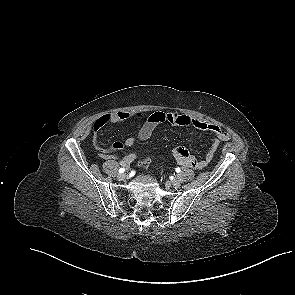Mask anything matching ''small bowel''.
Returning <instances> with one entry per match:
<instances>
[{
  "instance_id": "1",
  "label": "small bowel",
  "mask_w": 295,
  "mask_h": 295,
  "mask_svg": "<svg viewBox=\"0 0 295 295\" xmlns=\"http://www.w3.org/2000/svg\"><path fill=\"white\" fill-rule=\"evenodd\" d=\"M127 120H140L143 122L137 135L128 137L123 143L115 142L109 148H102L98 142L99 131L107 124H118ZM163 123H168L175 126H190L199 130L208 131L213 134L211 145L202 159L195 158L184 147H177L174 150L173 154L177 162L182 166L193 169L205 168L212 161L214 153L219 147L220 143L229 141L231 138L229 132L223 131L216 124L194 119L180 113L158 111L151 114H145L143 112L137 111H121L102 115L96 119L93 124L94 143L99 150V156L106 160L116 158L117 155L112 154V152H120L125 147H131L134 145L136 140L145 141L149 139L155 128ZM136 157V154L133 152L125 155L121 159V165L129 166L136 159Z\"/></svg>"
}]
</instances>
